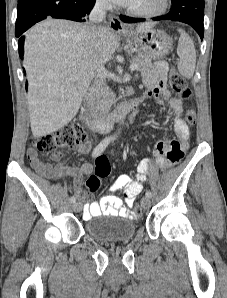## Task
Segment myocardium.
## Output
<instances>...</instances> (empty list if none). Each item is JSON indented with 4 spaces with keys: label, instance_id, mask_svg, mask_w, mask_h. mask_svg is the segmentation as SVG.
I'll list each match as a JSON object with an SVG mask.
<instances>
[{
    "label": "myocardium",
    "instance_id": "1",
    "mask_svg": "<svg viewBox=\"0 0 227 298\" xmlns=\"http://www.w3.org/2000/svg\"><path fill=\"white\" fill-rule=\"evenodd\" d=\"M169 0H160L157 8L152 10H139L134 8H127L128 14L139 18H156L165 14L168 9Z\"/></svg>",
    "mask_w": 227,
    "mask_h": 298
}]
</instances>
